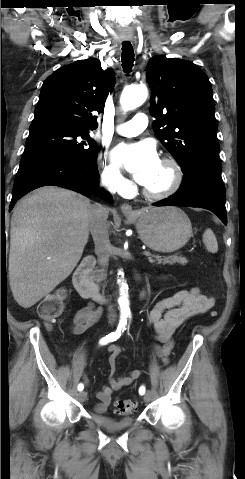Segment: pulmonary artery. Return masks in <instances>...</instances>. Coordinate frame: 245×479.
Wrapping results in <instances>:
<instances>
[{"label": "pulmonary artery", "mask_w": 245, "mask_h": 479, "mask_svg": "<svg viewBox=\"0 0 245 479\" xmlns=\"http://www.w3.org/2000/svg\"><path fill=\"white\" fill-rule=\"evenodd\" d=\"M148 118L144 113H137L130 121L116 127L117 133L123 136H136L146 129Z\"/></svg>", "instance_id": "e3ab8cb5"}]
</instances>
